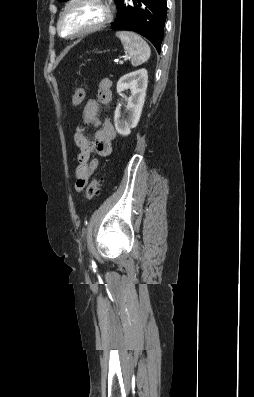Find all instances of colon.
Segmentation results:
<instances>
[{"label": "colon", "mask_w": 254, "mask_h": 397, "mask_svg": "<svg viewBox=\"0 0 254 397\" xmlns=\"http://www.w3.org/2000/svg\"><path fill=\"white\" fill-rule=\"evenodd\" d=\"M85 99V91L83 87L77 86L73 97H72V105L77 107L82 104ZM101 190V182L98 178H94L87 187L86 196L88 199H93L96 197Z\"/></svg>", "instance_id": "obj_1"}]
</instances>
